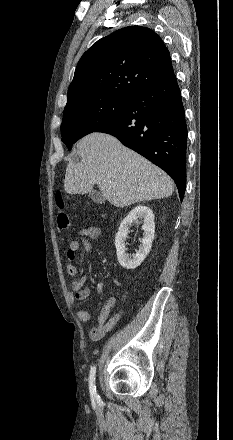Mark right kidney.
I'll return each instance as SVG.
<instances>
[{"mask_svg": "<svg viewBox=\"0 0 233 440\" xmlns=\"http://www.w3.org/2000/svg\"><path fill=\"white\" fill-rule=\"evenodd\" d=\"M143 220L142 230L143 239L136 254L126 253V237L132 224H139ZM155 233L154 214L152 210L143 205L132 209L120 224L119 230L115 236V246L117 250V259L120 265L125 269H135L146 258L151 250Z\"/></svg>", "mask_w": 233, "mask_h": 440, "instance_id": "ca27d5eb", "label": "right kidney"}]
</instances>
